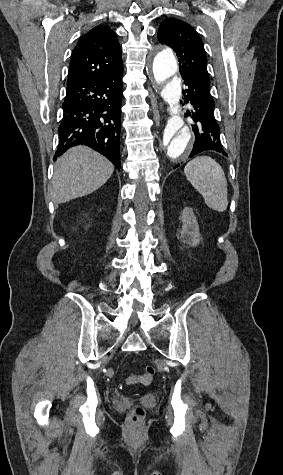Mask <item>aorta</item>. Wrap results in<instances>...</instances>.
I'll list each match as a JSON object with an SVG mask.
<instances>
[{"instance_id":"762f6f07","label":"aorta","mask_w":283,"mask_h":475,"mask_svg":"<svg viewBox=\"0 0 283 475\" xmlns=\"http://www.w3.org/2000/svg\"><path fill=\"white\" fill-rule=\"evenodd\" d=\"M155 81L161 87V95L169 104L170 118L163 130L159 143V153L163 160L176 162L185 159L193 147L190 126L181 116V85L175 77L178 71L177 60L171 49L166 48L156 54L152 63Z\"/></svg>"}]
</instances>
